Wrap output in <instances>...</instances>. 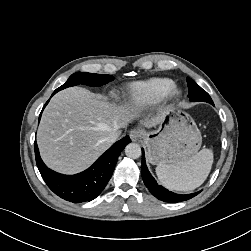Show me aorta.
<instances>
[{
  "instance_id": "obj_1",
  "label": "aorta",
  "mask_w": 251,
  "mask_h": 251,
  "mask_svg": "<svg viewBox=\"0 0 251 251\" xmlns=\"http://www.w3.org/2000/svg\"><path fill=\"white\" fill-rule=\"evenodd\" d=\"M127 157L137 159L141 156V147L136 143H130L125 147Z\"/></svg>"
}]
</instances>
